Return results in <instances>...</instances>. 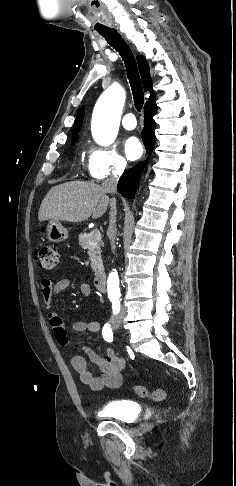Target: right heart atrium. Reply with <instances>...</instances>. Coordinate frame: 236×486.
I'll list each match as a JSON object with an SVG mask.
<instances>
[{"label": "right heart atrium", "instance_id": "right-heart-atrium-1", "mask_svg": "<svg viewBox=\"0 0 236 486\" xmlns=\"http://www.w3.org/2000/svg\"><path fill=\"white\" fill-rule=\"evenodd\" d=\"M126 168L125 159L113 148L93 146L88 155L87 170L94 180L120 175Z\"/></svg>", "mask_w": 236, "mask_h": 486}]
</instances>
